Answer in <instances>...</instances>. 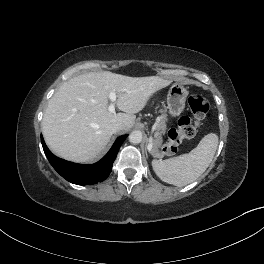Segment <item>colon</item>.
<instances>
[{
    "label": "colon",
    "mask_w": 264,
    "mask_h": 264,
    "mask_svg": "<svg viewBox=\"0 0 264 264\" xmlns=\"http://www.w3.org/2000/svg\"><path fill=\"white\" fill-rule=\"evenodd\" d=\"M188 106L192 117L183 116L178 120V126L171 129L168 133V140L163 146V152L166 155L174 154L178 145L188 138H192L200 125L202 119L209 111V101L200 94H192L188 98Z\"/></svg>",
    "instance_id": "1"
}]
</instances>
